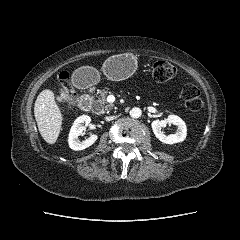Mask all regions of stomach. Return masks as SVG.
<instances>
[{"instance_id":"stomach-1","label":"stomach","mask_w":240,"mask_h":240,"mask_svg":"<svg viewBox=\"0 0 240 240\" xmlns=\"http://www.w3.org/2000/svg\"><path fill=\"white\" fill-rule=\"evenodd\" d=\"M136 70V59L130 54H120L110 57L102 67L104 75L112 81H121L130 77ZM75 73L82 75L87 81L93 82L97 78L95 70L82 67Z\"/></svg>"}]
</instances>
